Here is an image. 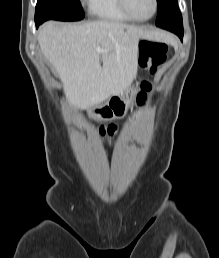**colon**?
I'll return each mask as SVG.
<instances>
[{
    "mask_svg": "<svg viewBox=\"0 0 219 258\" xmlns=\"http://www.w3.org/2000/svg\"><path fill=\"white\" fill-rule=\"evenodd\" d=\"M167 45L161 42L143 40L139 44L140 64L154 73L166 61ZM151 83L144 81L141 84V92L138 95V103L147 101V93L151 90ZM101 135L113 136L117 132L114 124L103 125L99 129Z\"/></svg>",
    "mask_w": 219,
    "mask_h": 258,
    "instance_id": "5ec220e1",
    "label": "colon"
}]
</instances>
